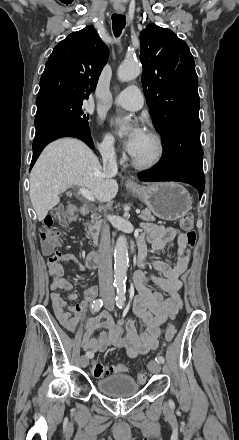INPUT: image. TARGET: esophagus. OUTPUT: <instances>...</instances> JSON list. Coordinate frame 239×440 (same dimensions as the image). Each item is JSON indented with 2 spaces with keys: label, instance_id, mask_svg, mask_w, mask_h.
I'll list each match as a JSON object with an SVG mask.
<instances>
[{
  "label": "esophagus",
  "instance_id": "esophagus-1",
  "mask_svg": "<svg viewBox=\"0 0 239 440\" xmlns=\"http://www.w3.org/2000/svg\"><path fill=\"white\" fill-rule=\"evenodd\" d=\"M118 13H123V11H118ZM126 182H128V183H134V181H133L131 178H128V179L126 180Z\"/></svg>",
  "mask_w": 239,
  "mask_h": 440
}]
</instances>
